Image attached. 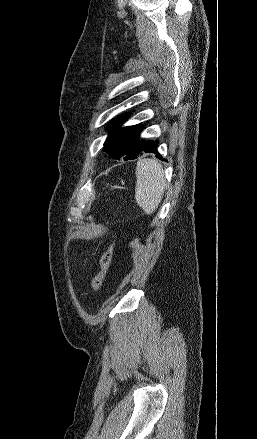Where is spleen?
<instances>
[{
  "label": "spleen",
  "mask_w": 257,
  "mask_h": 439,
  "mask_svg": "<svg viewBox=\"0 0 257 439\" xmlns=\"http://www.w3.org/2000/svg\"><path fill=\"white\" fill-rule=\"evenodd\" d=\"M136 179V202L150 215L161 202L166 187L162 165L155 159H140L136 166Z\"/></svg>",
  "instance_id": "1"
}]
</instances>
